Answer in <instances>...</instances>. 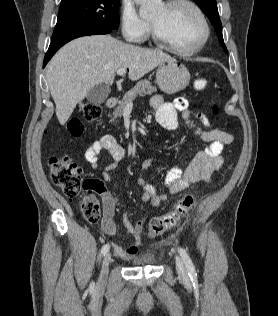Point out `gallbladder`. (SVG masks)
I'll list each match as a JSON object with an SVG mask.
<instances>
[{"mask_svg": "<svg viewBox=\"0 0 278 316\" xmlns=\"http://www.w3.org/2000/svg\"><path fill=\"white\" fill-rule=\"evenodd\" d=\"M109 93H110V89L108 86H105L103 84H99V85L93 87L89 91V93L87 95V100L89 101V103H91L95 106H99L102 103H104V101L108 97Z\"/></svg>", "mask_w": 278, "mask_h": 316, "instance_id": "bac80fb5", "label": "gallbladder"}]
</instances>
